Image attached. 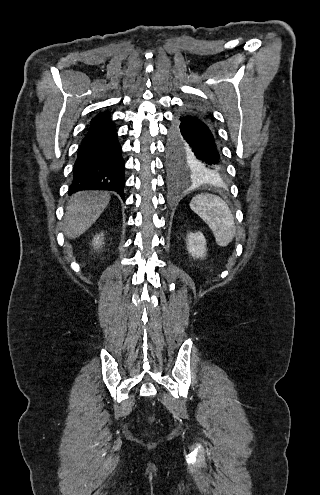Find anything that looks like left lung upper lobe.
<instances>
[{
  "instance_id": "5c2ea615",
  "label": "left lung upper lobe",
  "mask_w": 320,
  "mask_h": 495,
  "mask_svg": "<svg viewBox=\"0 0 320 495\" xmlns=\"http://www.w3.org/2000/svg\"><path fill=\"white\" fill-rule=\"evenodd\" d=\"M187 108L197 111L200 114L207 115L200 106L194 103H190ZM168 171L173 176L184 174L208 176V169L198 155V152L192 147L177 124L170 132Z\"/></svg>"
}]
</instances>
